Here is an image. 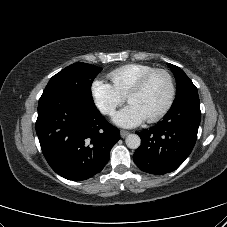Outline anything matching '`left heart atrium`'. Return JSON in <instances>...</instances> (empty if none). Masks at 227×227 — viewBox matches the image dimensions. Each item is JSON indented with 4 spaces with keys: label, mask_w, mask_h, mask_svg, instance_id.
<instances>
[{
    "label": "left heart atrium",
    "mask_w": 227,
    "mask_h": 227,
    "mask_svg": "<svg viewBox=\"0 0 227 227\" xmlns=\"http://www.w3.org/2000/svg\"><path fill=\"white\" fill-rule=\"evenodd\" d=\"M145 120L144 115L133 104L127 105L114 116V122L122 127H134Z\"/></svg>",
    "instance_id": "obj_1"
}]
</instances>
